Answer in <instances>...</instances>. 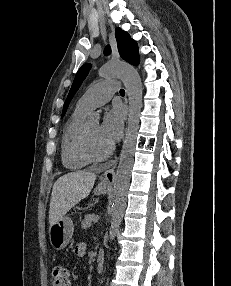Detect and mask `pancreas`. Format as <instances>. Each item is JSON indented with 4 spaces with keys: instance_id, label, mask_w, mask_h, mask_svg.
<instances>
[{
    "instance_id": "pancreas-1",
    "label": "pancreas",
    "mask_w": 231,
    "mask_h": 286,
    "mask_svg": "<svg viewBox=\"0 0 231 286\" xmlns=\"http://www.w3.org/2000/svg\"><path fill=\"white\" fill-rule=\"evenodd\" d=\"M94 215L88 214L84 217V220L81 222L82 229H88L92 226Z\"/></svg>"
}]
</instances>
